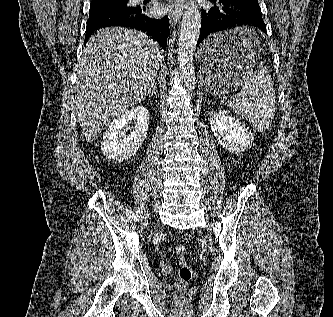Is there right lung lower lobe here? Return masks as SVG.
<instances>
[{
  "mask_svg": "<svg viewBox=\"0 0 333 317\" xmlns=\"http://www.w3.org/2000/svg\"><path fill=\"white\" fill-rule=\"evenodd\" d=\"M145 10V8L139 6H108L90 9L85 43L97 29L109 26H121L146 32L165 50L169 34L168 17L165 16L161 19L149 18L144 14Z\"/></svg>",
  "mask_w": 333,
  "mask_h": 317,
  "instance_id": "1",
  "label": "right lung lower lobe"
}]
</instances>
